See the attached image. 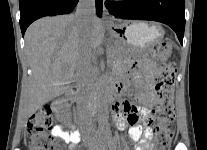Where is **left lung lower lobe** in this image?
I'll return each instance as SVG.
<instances>
[{
    "mask_svg": "<svg viewBox=\"0 0 207 150\" xmlns=\"http://www.w3.org/2000/svg\"><path fill=\"white\" fill-rule=\"evenodd\" d=\"M116 18L153 20L170 26L182 44L185 28V0H127L105 2Z\"/></svg>",
    "mask_w": 207,
    "mask_h": 150,
    "instance_id": "1",
    "label": "left lung lower lobe"
}]
</instances>
